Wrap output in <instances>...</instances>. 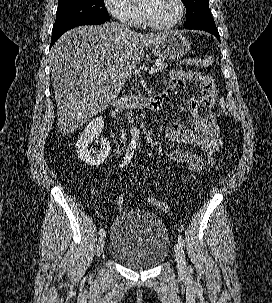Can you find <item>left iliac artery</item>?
Wrapping results in <instances>:
<instances>
[{
    "label": "left iliac artery",
    "instance_id": "left-iliac-artery-1",
    "mask_svg": "<svg viewBox=\"0 0 272 303\" xmlns=\"http://www.w3.org/2000/svg\"><path fill=\"white\" fill-rule=\"evenodd\" d=\"M178 242L182 245V246H185V243H184V239L181 235L178 236Z\"/></svg>",
    "mask_w": 272,
    "mask_h": 303
}]
</instances>
